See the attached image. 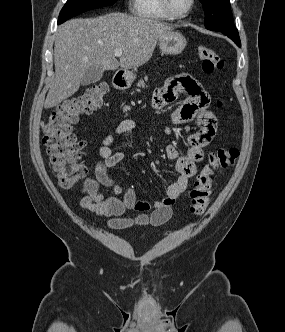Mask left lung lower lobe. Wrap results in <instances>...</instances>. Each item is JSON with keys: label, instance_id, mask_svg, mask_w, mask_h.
I'll return each instance as SVG.
<instances>
[{"label": "left lung lower lobe", "instance_id": "1", "mask_svg": "<svg viewBox=\"0 0 285 332\" xmlns=\"http://www.w3.org/2000/svg\"><path fill=\"white\" fill-rule=\"evenodd\" d=\"M226 35L229 38H231L237 46L241 47V42H240L239 34L238 35L226 34Z\"/></svg>", "mask_w": 285, "mask_h": 332}]
</instances>
